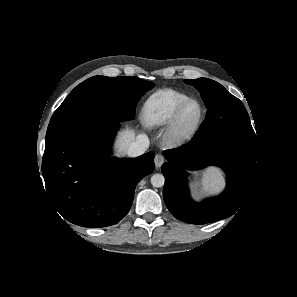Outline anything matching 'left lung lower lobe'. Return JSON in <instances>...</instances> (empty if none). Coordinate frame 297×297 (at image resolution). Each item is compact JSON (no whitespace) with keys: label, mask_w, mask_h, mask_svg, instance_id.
<instances>
[{"label":"left lung lower lobe","mask_w":297,"mask_h":297,"mask_svg":"<svg viewBox=\"0 0 297 297\" xmlns=\"http://www.w3.org/2000/svg\"><path fill=\"white\" fill-rule=\"evenodd\" d=\"M163 154L167 160L161 167L165 177L163 198L176 218L190 224H205L227 218L241 209L257 169L255 142L233 134L193 137L188 144ZM209 165L225 170L226 189L217 197L196 203L189 195L186 170Z\"/></svg>","instance_id":"left-lung-lower-lobe-1"}]
</instances>
